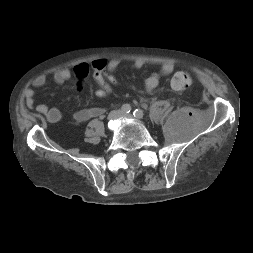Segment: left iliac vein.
<instances>
[{"label":"left iliac vein","mask_w":253,"mask_h":253,"mask_svg":"<svg viewBox=\"0 0 253 253\" xmlns=\"http://www.w3.org/2000/svg\"><path fill=\"white\" fill-rule=\"evenodd\" d=\"M124 117L128 118V119H131V118H133V115L132 114H125Z\"/></svg>","instance_id":"4c4485c4"}]
</instances>
